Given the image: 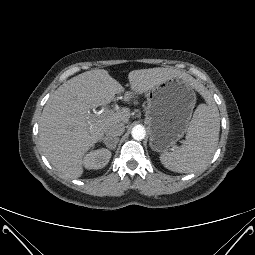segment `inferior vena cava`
Returning a JSON list of instances; mask_svg holds the SVG:
<instances>
[{"mask_svg": "<svg viewBox=\"0 0 255 255\" xmlns=\"http://www.w3.org/2000/svg\"><path fill=\"white\" fill-rule=\"evenodd\" d=\"M125 126L123 123H113L110 124L106 129H105V143L106 145L112 146L116 142L119 141V136H121L124 133Z\"/></svg>", "mask_w": 255, "mask_h": 255, "instance_id": "inferior-vena-cava-1", "label": "inferior vena cava"}]
</instances>
